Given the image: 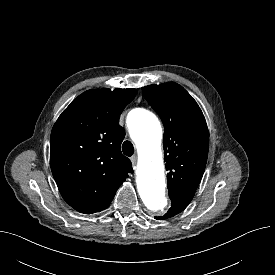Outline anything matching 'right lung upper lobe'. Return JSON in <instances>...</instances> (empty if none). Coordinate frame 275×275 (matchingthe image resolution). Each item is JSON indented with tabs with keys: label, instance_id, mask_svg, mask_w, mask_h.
I'll list each match as a JSON object with an SVG mask.
<instances>
[{
	"label": "right lung upper lobe",
	"instance_id": "cb5924a9",
	"mask_svg": "<svg viewBox=\"0 0 275 275\" xmlns=\"http://www.w3.org/2000/svg\"><path fill=\"white\" fill-rule=\"evenodd\" d=\"M136 94V89L88 90L53 126L51 171L64 200L81 213L106 209L133 172L120 150L125 131L119 117Z\"/></svg>",
	"mask_w": 275,
	"mask_h": 275
}]
</instances>
